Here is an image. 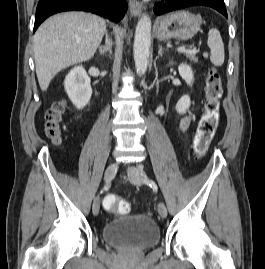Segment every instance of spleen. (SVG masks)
<instances>
[{"instance_id":"3e777b00","label":"spleen","mask_w":265,"mask_h":269,"mask_svg":"<svg viewBox=\"0 0 265 269\" xmlns=\"http://www.w3.org/2000/svg\"><path fill=\"white\" fill-rule=\"evenodd\" d=\"M207 45L211 53V63L215 66H222L225 58L224 44L217 29L213 28L209 31Z\"/></svg>"}]
</instances>
